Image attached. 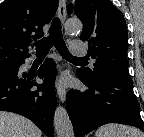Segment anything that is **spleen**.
I'll return each mask as SVG.
<instances>
[{"label":"spleen","mask_w":144,"mask_h":137,"mask_svg":"<svg viewBox=\"0 0 144 137\" xmlns=\"http://www.w3.org/2000/svg\"><path fill=\"white\" fill-rule=\"evenodd\" d=\"M95 137H144V133L134 127L111 123L99 127Z\"/></svg>","instance_id":"obj_1"}]
</instances>
